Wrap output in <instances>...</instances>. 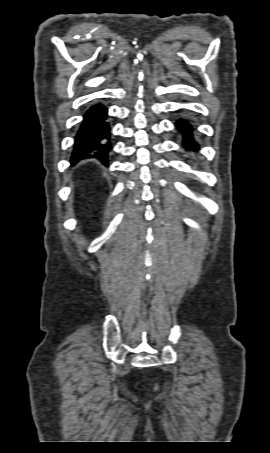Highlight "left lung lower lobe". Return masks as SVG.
Returning <instances> with one entry per match:
<instances>
[{"instance_id": "0a47b994", "label": "left lung lower lobe", "mask_w": 270, "mask_h": 453, "mask_svg": "<svg viewBox=\"0 0 270 453\" xmlns=\"http://www.w3.org/2000/svg\"><path fill=\"white\" fill-rule=\"evenodd\" d=\"M175 126L183 136V147L187 150H197L198 144L194 138V126L190 120L180 118L176 121Z\"/></svg>"}]
</instances>
